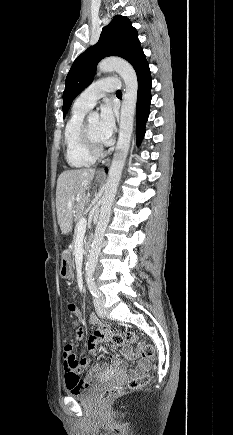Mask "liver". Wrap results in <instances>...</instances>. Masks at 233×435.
I'll return each instance as SVG.
<instances>
[{"label":"liver","mask_w":233,"mask_h":435,"mask_svg":"<svg viewBox=\"0 0 233 435\" xmlns=\"http://www.w3.org/2000/svg\"><path fill=\"white\" fill-rule=\"evenodd\" d=\"M94 175V169H78L63 171L58 177L56 210L62 234L68 235L72 231L73 218L78 219L87 206L89 201L87 191ZM77 198L79 201H76Z\"/></svg>","instance_id":"1"}]
</instances>
